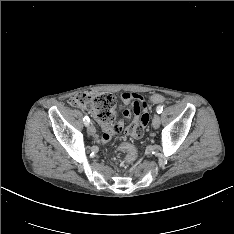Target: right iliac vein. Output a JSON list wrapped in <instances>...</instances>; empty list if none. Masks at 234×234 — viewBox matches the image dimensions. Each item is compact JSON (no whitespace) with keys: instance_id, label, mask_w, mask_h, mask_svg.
Returning a JSON list of instances; mask_svg holds the SVG:
<instances>
[{"instance_id":"obj_1","label":"right iliac vein","mask_w":234,"mask_h":234,"mask_svg":"<svg viewBox=\"0 0 234 234\" xmlns=\"http://www.w3.org/2000/svg\"><path fill=\"white\" fill-rule=\"evenodd\" d=\"M87 132L90 134V135H95L96 133V129L93 125H88L87 126Z\"/></svg>"}]
</instances>
